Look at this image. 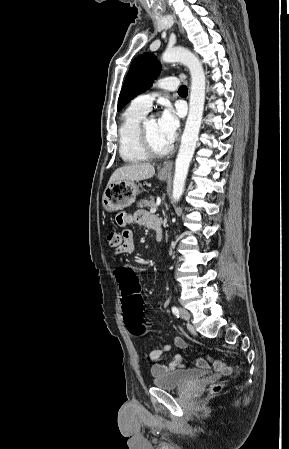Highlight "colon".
I'll return each mask as SVG.
<instances>
[{"label": "colon", "mask_w": 289, "mask_h": 449, "mask_svg": "<svg viewBox=\"0 0 289 449\" xmlns=\"http://www.w3.org/2000/svg\"><path fill=\"white\" fill-rule=\"evenodd\" d=\"M107 240L111 249L119 250L124 238L121 233L111 231L107 235ZM113 276L118 280L119 291L122 294L121 304L123 305L127 329L138 336L152 333V329L144 315L143 301L136 274L130 268H114ZM240 371L241 367L237 364L236 373ZM220 388V384L212 386L213 391H218Z\"/></svg>", "instance_id": "colon-1"}]
</instances>
